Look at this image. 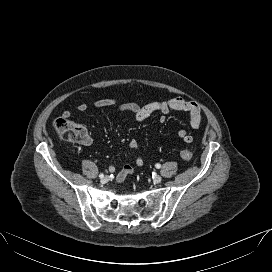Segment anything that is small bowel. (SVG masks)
<instances>
[{
  "instance_id": "obj_1",
  "label": "small bowel",
  "mask_w": 272,
  "mask_h": 272,
  "mask_svg": "<svg viewBox=\"0 0 272 272\" xmlns=\"http://www.w3.org/2000/svg\"><path fill=\"white\" fill-rule=\"evenodd\" d=\"M93 105L97 108H109L113 107L117 112H130L135 116V119L138 122H143L147 118H149L153 113L159 112L161 113L160 122H165L166 115L172 111H183L188 113L190 125L193 129H199L202 124V114L200 106L193 101H188L181 97H175L171 99L153 101L147 103L145 105H139L137 103H117L115 99L112 98H102L94 101ZM77 110L80 112H84L88 109V104L85 102H80L77 104ZM62 117L69 118L71 116V112L69 110H65L61 114ZM178 136L185 143H192L193 136L188 134L186 130L180 129L178 131ZM129 147L134 151L139 150V143L137 140L132 139L129 142ZM134 163L137 167H142L144 165L143 157L140 153L135 156ZM115 166H110V171L115 172ZM135 172V168L131 164L124 165L119 172L117 173V181H124L129 175H132Z\"/></svg>"
}]
</instances>
